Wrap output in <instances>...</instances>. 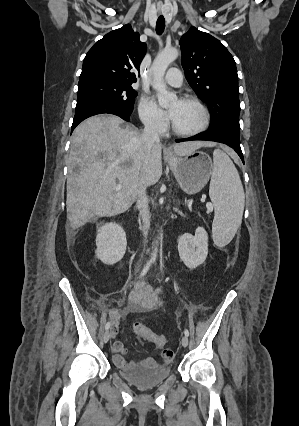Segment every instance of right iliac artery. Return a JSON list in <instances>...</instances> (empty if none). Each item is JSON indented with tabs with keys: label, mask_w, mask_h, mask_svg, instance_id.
<instances>
[{
	"label": "right iliac artery",
	"mask_w": 299,
	"mask_h": 426,
	"mask_svg": "<svg viewBox=\"0 0 299 426\" xmlns=\"http://www.w3.org/2000/svg\"><path fill=\"white\" fill-rule=\"evenodd\" d=\"M150 266H151V262H148L146 264V266L144 267V269L142 270V272L140 274V277H143L147 273V271L150 268ZM110 326H111V323L107 322L106 325H105V329L108 330L110 328Z\"/></svg>",
	"instance_id": "obj_1"
}]
</instances>
